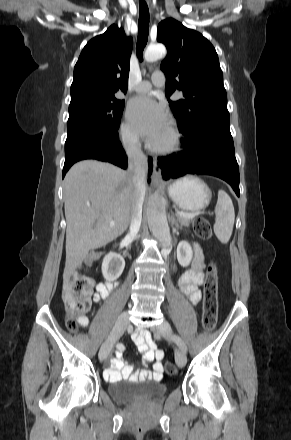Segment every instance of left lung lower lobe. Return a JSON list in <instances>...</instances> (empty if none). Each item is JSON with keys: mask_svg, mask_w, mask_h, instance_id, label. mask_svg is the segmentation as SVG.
<instances>
[{"mask_svg": "<svg viewBox=\"0 0 291 440\" xmlns=\"http://www.w3.org/2000/svg\"><path fill=\"white\" fill-rule=\"evenodd\" d=\"M183 151L158 161L164 179L187 174H207L229 183L237 196L239 191V167L235 158L230 119L218 118L205 121L184 134Z\"/></svg>", "mask_w": 291, "mask_h": 440, "instance_id": "1", "label": "left lung lower lobe"}]
</instances>
